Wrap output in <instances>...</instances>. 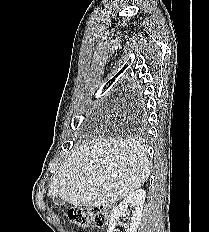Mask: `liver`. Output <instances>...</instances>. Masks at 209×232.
Segmentation results:
<instances>
[{"instance_id":"liver-1","label":"liver","mask_w":209,"mask_h":232,"mask_svg":"<svg viewBox=\"0 0 209 232\" xmlns=\"http://www.w3.org/2000/svg\"><path fill=\"white\" fill-rule=\"evenodd\" d=\"M149 175L147 148L140 141L95 137L65 160L48 196L92 209L127 197Z\"/></svg>"}]
</instances>
